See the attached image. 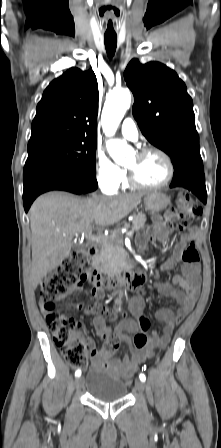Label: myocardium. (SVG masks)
I'll return each mask as SVG.
<instances>
[{
	"label": "myocardium",
	"instance_id": "obj_1",
	"mask_svg": "<svg viewBox=\"0 0 221 448\" xmlns=\"http://www.w3.org/2000/svg\"><path fill=\"white\" fill-rule=\"evenodd\" d=\"M152 153L160 155L166 162L167 167H168L167 178L160 184L148 185V184H144L143 182H141L138 179V177L135 175V173L131 169L127 168L128 182L132 187L139 188V189H160V188H163V187L169 185L171 183V181L173 180V178L175 176V172H176L175 164H174L172 158L164 150H162L160 148H156V147H145V148L141 149L137 153V155L139 157H144V156L152 154Z\"/></svg>",
	"mask_w": 221,
	"mask_h": 448
}]
</instances>
